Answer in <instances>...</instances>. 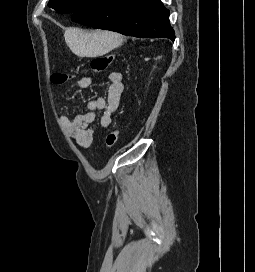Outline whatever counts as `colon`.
Wrapping results in <instances>:
<instances>
[{
	"mask_svg": "<svg viewBox=\"0 0 255 272\" xmlns=\"http://www.w3.org/2000/svg\"><path fill=\"white\" fill-rule=\"evenodd\" d=\"M112 61H113L112 54L96 56L91 60L89 70L94 73L103 72L110 66ZM71 78H72L71 75L62 72H55L51 76L53 83L59 85L68 83L71 80ZM119 135H120L119 129H113L111 132L107 134L105 139V145L107 149H112L116 145Z\"/></svg>",
	"mask_w": 255,
	"mask_h": 272,
	"instance_id": "obj_1",
	"label": "colon"
}]
</instances>
